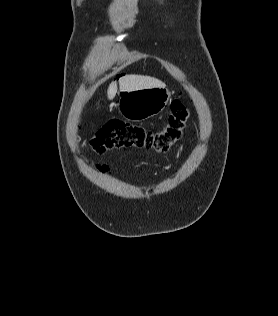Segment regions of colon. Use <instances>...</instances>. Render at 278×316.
<instances>
[{
    "mask_svg": "<svg viewBox=\"0 0 278 316\" xmlns=\"http://www.w3.org/2000/svg\"><path fill=\"white\" fill-rule=\"evenodd\" d=\"M189 111L179 100L173 101L165 126L157 131L126 123L117 118L103 122L91 139V146L98 154L116 148H138L158 153L169 151L183 136Z\"/></svg>",
    "mask_w": 278,
    "mask_h": 316,
    "instance_id": "5ec220e1",
    "label": "colon"
}]
</instances>
